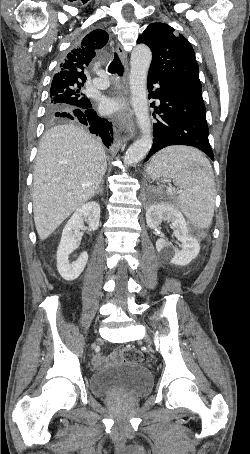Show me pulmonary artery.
<instances>
[{
	"label": "pulmonary artery",
	"instance_id": "obj_1",
	"mask_svg": "<svg viewBox=\"0 0 250 454\" xmlns=\"http://www.w3.org/2000/svg\"><path fill=\"white\" fill-rule=\"evenodd\" d=\"M92 84L98 89H106L109 86L106 76L102 74H99V77L94 78Z\"/></svg>",
	"mask_w": 250,
	"mask_h": 454
}]
</instances>
